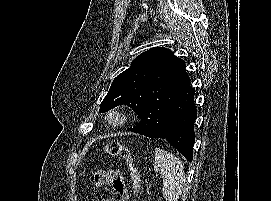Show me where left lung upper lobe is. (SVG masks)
Instances as JSON below:
<instances>
[{
	"label": "left lung upper lobe",
	"mask_w": 271,
	"mask_h": 201,
	"mask_svg": "<svg viewBox=\"0 0 271 201\" xmlns=\"http://www.w3.org/2000/svg\"><path fill=\"white\" fill-rule=\"evenodd\" d=\"M185 78L182 59L169 49L152 48L136 57L131 66L114 79L100 111L128 105L141 119L142 134L159 138Z\"/></svg>",
	"instance_id": "5c2ea615"
}]
</instances>
